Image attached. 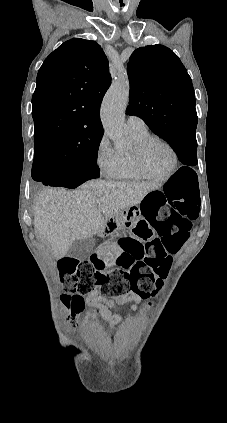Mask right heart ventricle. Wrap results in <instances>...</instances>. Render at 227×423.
I'll use <instances>...</instances> for the list:
<instances>
[{
    "label": "right heart ventricle",
    "mask_w": 227,
    "mask_h": 423,
    "mask_svg": "<svg viewBox=\"0 0 227 423\" xmlns=\"http://www.w3.org/2000/svg\"><path fill=\"white\" fill-rule=\"evenodd\" d=\"M129 137L131 139V147L128 149H118L117 156L119 160V170L116 178L119 179H140L141 175L135 169L133 160V150L135 146L147 138L149 133L146 130L143 131H129Z\"/></svg>",
    "instance_id": "right-heart-ventricle-1"
}]
</instances>
